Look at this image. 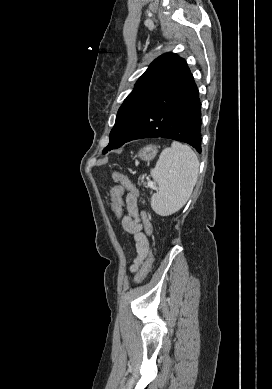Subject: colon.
I'll list each match as a JSON object with an SVG mask.
<instances>
[{"mask_svg": "<svg viewBox=\"0 0 272 389\" xmlns=\"http://www.w3.org/2000/svg\"><path fill=\"white\" fill-rule=\"evenodd\" d=\"M112 178L115 182V186L111 190V199H112V212L115 217L120 218L124 208L123 200V189L128 190L132 194H137V189L130 179L119 171H114L112 173ZM152 266V254H148L145 259L138 275L136 278L137 283H141L149 274Z\"/></svg>", "mask_w": 272, "mask_h": 389, "instance_id": "1", "label": "colon"}]
</instances>
